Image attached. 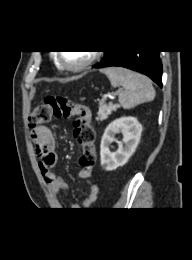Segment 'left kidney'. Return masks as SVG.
Listing matches in <instances>:
<instances>
[{
	"label": "left kidney",
	"instance_id": "obj_1",
	"mask_svg": "<svg viewBox=\"0 0 192 260\" xmlns=\"http://www.w3.org/2000/svg\"><path fill=\"white\" fill-rule=\"evenodd\" d=\"M123 134V140L117 141L115 135ZM142 125L135 117H121L111 122L104 131L100 145L101 166L112 171L127 163L140 141ZM112 142L118 143L117 151L110 150Z\"/></svg>",
	"mask_w": 192,
	"mask_h": 260
}]
</instances>
